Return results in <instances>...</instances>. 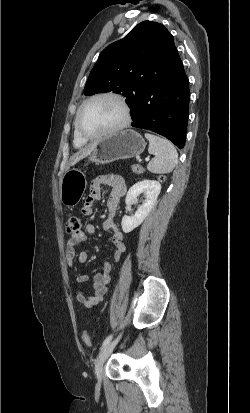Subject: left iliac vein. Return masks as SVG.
I'll return each instance as SVG.
<instances>
[{"mask_svg":"<svg viewBox=\"0 0 250 413\" xmlns=\"http://www.w3.org/2000/svg\"><path fill=\"white\" fill-rule=\"evenodd\" d=\"M119 339H120V336L116 338L115 340L109 342L99 352L98 357L95 362V374H96L98 381H101V378H102L103 364L107 360V358L110 356L111 352L113 351Z\"/></svg>","mask_w":250,"mask_h":413,"instance_id":"1","label":"left iliac vein"}]
</instances>
